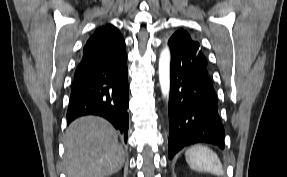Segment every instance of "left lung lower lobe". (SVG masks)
Here are the masks:
<instances>
[{"label": "left lung lower lobe", "mask_w": 287, "mask_h": 177, "mask_svg": "<svg viewBox=\"0 0 287 177\" xmlns=\"http://www.w3.org/2000/svg\"><path fill=\"white\" fill-rule=\"evenodd\" d=\"M169 99V159L183 147L207 142L224 148V128L208 70L179 53L173 41Z\"/></svg>", "instance_id": "left-lung-lower-lobe-1"}]
</instances>
